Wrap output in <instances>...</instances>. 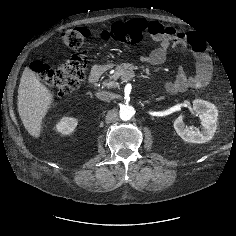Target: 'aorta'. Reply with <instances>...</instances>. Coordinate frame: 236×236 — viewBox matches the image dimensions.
Wrapping results in <instances>:
<instances>
[{"mask_svg":"<svg viewBox=\"0 0 236 236\" xmlns=\"http://www.w3.org/2000/svg\"><path fill=\"white\" fill-rule=\"evenodd\" d=\"M135 114V109L130 105H122L120 107L119 116L121 120L128 121Z\"/></svg>","mask_w":236,"mask_h":236,"instance_id":"1","label":"aorta"}]
</instances>
